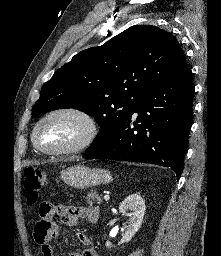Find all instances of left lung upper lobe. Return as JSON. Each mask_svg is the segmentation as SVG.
Here are the masks:
<instances>
[{"label": "left lung upper lobe", "mask_w": 221, "mask_h": 256, "mask_svg": "<svg viewBox=\"0 0 221 256\" xmlns=\"http://www.w3.org/2000/svg\"><path fill=\"white\" fill-rule=\"evenodd\" d=\"M185 64L171 33L151 25L132 26L99 47L79 52L58 69L43 85L32 117L78 109L101 126L97 140L125 122L152 88Z\"/></svg>", "instance_id": "obj_1"}]
</instances>
